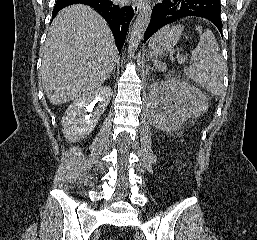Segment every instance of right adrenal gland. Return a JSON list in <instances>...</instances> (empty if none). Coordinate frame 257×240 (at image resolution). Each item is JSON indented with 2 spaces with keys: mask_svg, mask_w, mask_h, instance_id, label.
<instances>
[{
  "mask_svg": "<svg viewBox=\"0 0 257 240\" xmlns=\"http://www.w3.org/2000/svg\"><path fill=\"white\" fill-rule=\"evenodd\" d=\"M111 75L113 76V78L115 79V69L111 72V74L107 77V79H109L111 77Z\"/></svg>",
  "mask_w": 257,
  "mask_h": 240,
  "instance_id": "right-adrenal-gland-1",
  "label": "right adrenal gland"
}]
</instances>
